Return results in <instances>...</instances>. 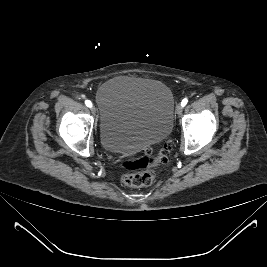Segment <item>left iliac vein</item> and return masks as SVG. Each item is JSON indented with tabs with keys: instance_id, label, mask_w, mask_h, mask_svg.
Listing matches in <instances>:
<instances>
[{
	"instance_id": "1",
	"label": "left iliac vein",
	"mask_w": 267,
	"mask_h": 267,
	"mask_svg": "<svg viewBox=\"0 0 267 267\" xmlns=\"http://www.w3.org/2000/svg\"><path fill=\"white\" fill-rule=\"evenodd\" d=\"M182 111H183V106H182V104H178V105L176 106V114H177L178 116H180V115L182 114Z\"/></svg>"
}]
</instances>
